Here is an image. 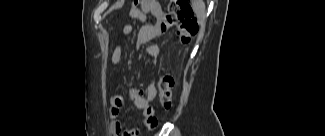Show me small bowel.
<instances>
[{
  "mask_svg": "<svg viewBox=\"0 0 325 136\" xmlns=\"http://www.w3.org/2000/svg\"><path fill=\"white\" fill-rule=\"evenodd\" d=\"M134 26L131 24L125 25L122 29V36L127 37L134 33ZM164 31L163 25H145L141 27L136 35V44L138 46L146 45V54L148 62L151 66H155L159 56V47L157 45H148V43L160 36ZM124 53V44L122 39L118 40L113 49L111 62L117 66L121 62ZM129 99L133 105L142 111L143 124L148 129H154L158 125V120L154 115V109L151 106L152 101L156 97V87L154 81L149 83L145 88H133L128 93ZM125 103V97L122 94H116L110 99V115L112 118H117L118 114ZM112 130L116 136H137L140 133V128L133 127L124 129L119 120L112 122Z\"/></svg>",
  "mask_w": 325,
  "mask_h": 136,
  "instance_id": "small-bowel-1",
  "label": "small bowel"
}]
</instances>
